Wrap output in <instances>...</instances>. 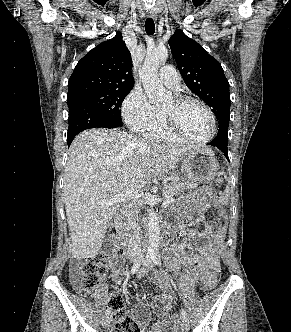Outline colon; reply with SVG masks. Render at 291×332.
<instances>
[{"label":"colon","mask_w":291,"mask_h":332,"mask_svg":"<svg viewBox=\"0 0 291 332\" xmlns=\"http://www.w3.org/2000/svg\"><path fill=\"white\" fill-rule=\"evenodd\" d=\"M121 254V247L116 245L112 253L100 252L91 259L73 264L70 270V277L74 286L86 295H95L108 263ZM219 275L220 269L216 265L207 273L204 280V288L206 290L213 289L218 282ZM109 306L112 309L115 320L111 332H141L140 325L126 314L124 300L120 295L112 296Z\"/></svg>","instance_id":"colon-1"}]
</instances>
